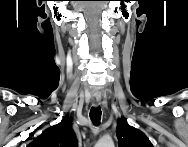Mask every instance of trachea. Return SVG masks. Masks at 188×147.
I'll return each instance as SVG.
<instances>
[{"mask_svg": "<svg viewBox=\"0 0 188 147\" xmlns=\"http://www.w3.org/2000/svg\"><path fill=\"white\" fill-rule=\"evenodd\" d=\"M101 109L100 107L97 108H91L90 110V119L93 122V124L98 125L101 120Z\"/></svg>", "mask_w": 188, "mask_h": 147, "instance_id": "3493384b", "label": "trachea"}]
</instances>
